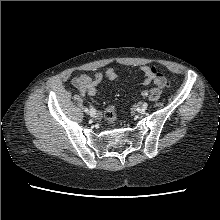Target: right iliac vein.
<instances>
[{"label": "right iliac vein", "instance_id": "obj_1", "mask_svg": "<svg viewBox=\"0 0 220 220\" xmlns=\"http://www.w3.org/2000/svg\"><path fill=\"white\" fill-rule=\"evenodd\" d=\"M89 115L92 116V117H94V116L96 115V111H95L94 109H91V110L89 111Z\"/></svg>", "mask_w": 220, "mask_h": 220}]
</instances>
